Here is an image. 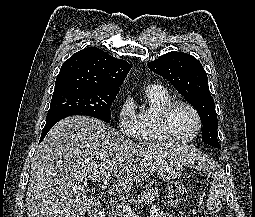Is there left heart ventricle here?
Returning <instances> with one entry per match:
<instances>
[{
    "label": "left heart ventricle",
    "mask_w": 255,
    "mask_h": 217,
    "mask_svg": "<svg viewBox=\"0 0 255 217\" xmlns=\"http://www.w3.org/2000/svg\"><path fill=\"white\" fill-rule=\"evenodd\" d=\"M170 128L175 135L188 137L196 131L197 119L189 108L180 105L171 112Z\"/></svg>",
    "instance_id": "left-heart-ventricle-1"
}]
</instances>
